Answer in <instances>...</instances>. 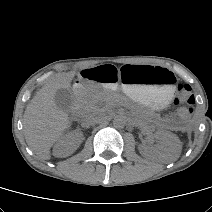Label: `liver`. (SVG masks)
<instances>
[{
  "label": "liver",
  "instance_id": "obj_1",
  "mask_svg": "<svg viewBox=\"0 0 212 212\" xmlns=\"http://www.w3.org/2000/svg\"><path fill=\"white\" fill-rule=\"evenodd\" d=\"M75 72L57 74L43 86L24 112V133L28 146L42 160H48L50 148L70 126L68 114L54 100L56 91L69 88Z\"/></svg>",
  "mask_w": 212,
  "mask_h": 212
}]
</instances>
